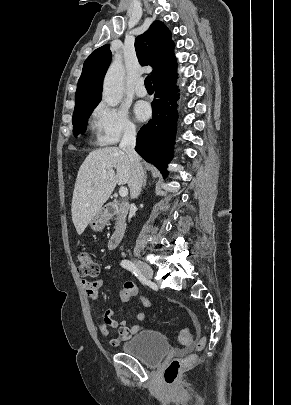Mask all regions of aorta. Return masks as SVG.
<instances>
[{"mask_svg":"<svg viewBox=\"0 0 291 405\" xmlns=\"http://www.w3.org/2000/svg\"><path fill=\"white\" fill-rule=\"evenodd\" d=\"M125 75L122 60L116 57L110 65L103 81V100L109 106H117L123 97Z\"/></svg>","mask_w":291,"mask_h":405,"instance_id":"1","label":"aorta"}]
</instances>
